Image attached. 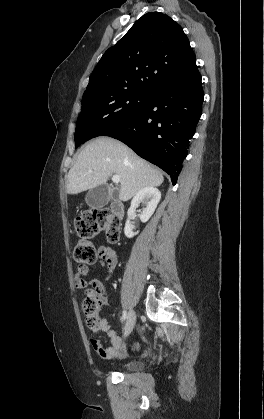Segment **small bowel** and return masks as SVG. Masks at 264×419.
Returning <instances> with one entry per match:
<instances>
[{"label": "small bowel", "mask_w": 264, "mask_h": 419, "mask_svg": "<svg viewBox=\"0 0 264 419\" xmlns=\"http://www.w3.org/2000/svg\"><path fill=\"white\" fill-rule=\"evenodd\" d=\"M99 263L102 267H105L108 271V275L105 280L110 279L117 267V254L114 249L109 246L101 245L98 248ZM89 274V267L81 265L77 268L74 284L78 289H84L86 293L96 295L103 305L108 303V293L103 284L99 279L92 280V288H88L87 276ZM96 332H106L110 339V345L104 346L100 340L92 338L90 345L93 350L103 359L109 360L114 358H121L125 355L126 346L122 338L116 333L115 330L111 329L106 317L102 316L99 319L98 327L94 330Z\"/></svg>", "instance_id": "1"}]
</instances>
